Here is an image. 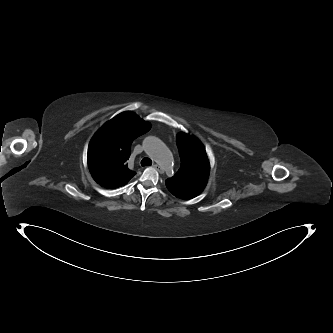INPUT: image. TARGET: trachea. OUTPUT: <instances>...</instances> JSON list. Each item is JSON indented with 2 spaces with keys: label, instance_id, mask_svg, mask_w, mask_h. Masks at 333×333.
<instances>
[{
  "label": "trachea",
  "instance_id": "trachea-1",
  "mask_svg": "<svg viewBox=\"0 0 333 333\" xmlns=\"http://www.w3.org/2000/svg\"><path fill=\"white\" fill-rule=\"evenodd\" d=\"M152 165V160L150 158H143L141 160V166L144 167V166H151Z\"/></svg>",
  "mask_w": 333,
  "mask_h": 333
}]
</instances>
